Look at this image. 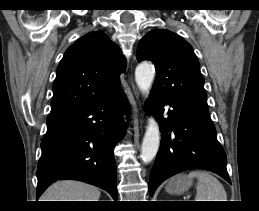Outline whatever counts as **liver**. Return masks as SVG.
I'll list each match as a JSON object with an SVG mask.
<instances>
[{"mask_svg":"<svg viewBox=\"0 0 259 211\" xmlns=\"http://www.w3.org/2000/svg\"><path fill=\"white\" fill-rule=\"evenodd\" d=\"M98 188L78 181L64 180L52 184L40 201H98Z\"/></svg>","mask_w":259,"mask_h":211,"instance_id":"obj_1","label":"liver"}]
</instances>
